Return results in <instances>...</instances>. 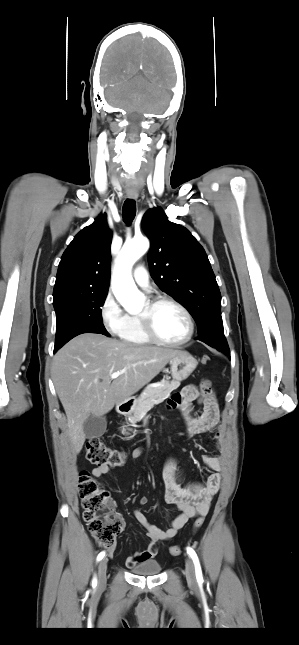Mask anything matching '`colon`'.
I'll return each mask as SVG.
<instances>
[{"label":"colon","instance_id":"obj_1","mask_svg":"<svg viewBox=\"0 0 299 645\" xmlns=\"http://www.w3.org/2000/svg\"><path fill=\"white\" fill-rule=\"evenodd\" d=\"M211 361L208 355L202 357V364L207 365ZM210 382L204 380L201 383L203 397L210 394ZM87 459L97 465L119 467L125 461V454L106 446L100 439L92 438L86 446ZM79 491L83 507V517L88 528L98 544L104 548H112L117 536L124 528L123 519L116 512L115 503L109 493L93 479L90 474L83 471L79 477ZM204 523V516L195 520L194 530H198ZM180 546H171L169 552L177 556L181 553Z\"/></svg>","mask_w":299,"mask_h":645}]
</instances>
